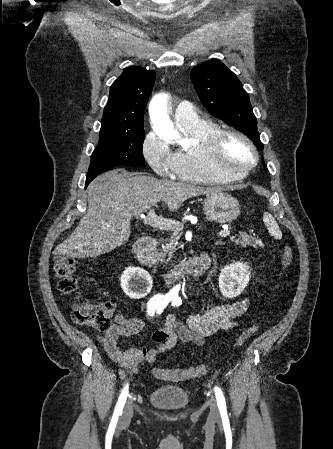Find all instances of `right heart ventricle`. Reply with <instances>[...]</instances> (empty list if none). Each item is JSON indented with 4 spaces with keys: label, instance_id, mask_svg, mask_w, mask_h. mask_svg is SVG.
I'll return each mask as SVG.
<instances>
[{
    "label": "right heart ventricle",
    "instance_id": "e07e8e85",
    "mask_svg": "<svg viewBox=\"0 0 333 449\" xmlns=\"http://www.w3.org/2000/svg\"><path fill=\"white\" fill-rule=\"evenodd\" d=\"M179 128L191 142L188 147H180L175 152L174 176L182 181L201 184L231 181L211 172L203 150L204 141L221 128L208 120H198L192 124H179Z\"/></svg>",
    "mask_w": 333,
    "mask_h": 449
}]
</instances>
